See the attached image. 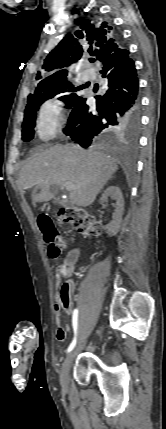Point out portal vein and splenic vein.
<instances>
[{"label":"portal vein and splenic vein","mask_w":166,"mask_h":429,"mask_svg":"<svg viewBox=\"0 0 166 429\" xmlns=\"http://www.w3.org/2000/svg\"><path fill=\"white\" fill-rule=\"evenodd\" d=\"M64 186H65V188H66L67 190H70V189H72V187H73V185H72L70 182H66V183L64 184Z\"/></svg>","instance_id":"obj_1"}]
</instances>
